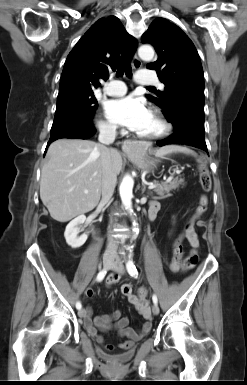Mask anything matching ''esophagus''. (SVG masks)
<instances>
[{
  "instance_id": "obj_1",
  "label": "esophagus",
  "mask_w": 247,
  "mask_h": 385,
  "mask_svg": "<svg viewBox=\"0 0 247 385\" xmlns=\"http://www.w3.org/2000/svg\"><path fill=\"white\" fill-rule=\"evenodd\" d=\"M132 66L134 69H140L142 66L141 60L137 57V55L134 56L132 60ZM140 147V144L131 140H125L123 143V150L127 153H132L134 150L138 149Z\"/></svg>"
}]
</instances>
